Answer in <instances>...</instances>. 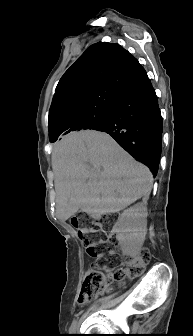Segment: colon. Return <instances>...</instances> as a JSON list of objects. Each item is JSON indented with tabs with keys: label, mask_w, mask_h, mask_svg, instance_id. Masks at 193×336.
Segmentation results:
<instances>
[{
	"label": "colon",
	"mask_w": 193,
	"mask_h": 336,
	"mask_svg": "<svg viewBox=\"0 0 193 336\" xmlns=\"http://www.w3.org/2000/svg\"><path fill=\"white\" fill-rule=\"evenodd\" d=\"M114 224L115 218L112 216L78 214L72 218V226L77 231L88 254L98 259L114 256L116 253L117 241ZM149 261V251L142 249L135 256L124 261L113 273H106L97 266L90 267L84 276L78 302L84 304L92 301L108 289L112 280L121 283L126 278L138 277Z\"/></svg>",
	"instance_id": "colon-1"
}]
</instances>
